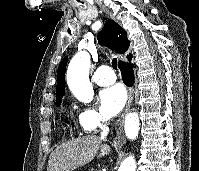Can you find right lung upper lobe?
I'll list each match as a JSON object with an SVG mask.
<instances>
[{"mask_svg":"<svg viewBox=\"0 0 199 171\" xmlns=\"http://www.w3.org/2000/svg\"><path fill=\"white\" fill-rule=\"evenodd\" d=\"M98 42L100 45L108 46L117 53L124 54L127 52L130 41L127 38V32L114 20H108L104 25L102 31L98 35ZM127 58H132V55H127ZM67 56L61 61L57 72V87L56 100L62 99L65 88V70H66ZM122 63L119 61L118 64Z\"/></svg>","mask_w":199,"mask_h":171,"instance_id":"obj_1","label":"right lung upper lobe"}]
</instances>
